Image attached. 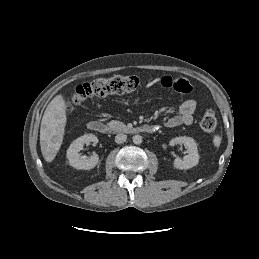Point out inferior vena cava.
Here are the masks:
<instances>
[{
  "instance_id": "602c4592",
  "label": "inferior vena cava",
  "mask_w": 259,
  "mask_h": 259,
  "mask_svg": "<svg viewBox=\"0 0 259 259\" xmlns=\"http://www.w3.org/2000/svg\"><path fill=\"white\" fill-rule=\"evenodd\" d=\"M127 140V135L123 134V133H119L115 136V142L117 144H122Z\"/></svg>"
}]
</instances>
